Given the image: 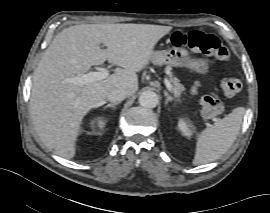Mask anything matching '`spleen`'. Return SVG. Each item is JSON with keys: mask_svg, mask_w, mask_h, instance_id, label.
Instances as JSON below:
<instances>
[{"mask_svg": "<svg viewBox=\"0 0 270 213\" xmlns=\"http://www.w3.org/2000/svg\"><path fill=\"white\" fill-rule=\"evenodd\" d=\"M244 114L243 107L235 108L226 117L199 133L193 164L210 163L225 154L237 138Z\"/></svg>", "mask_w": 270, "mask_h": 213, "instance_id": "spleen-1", "label": "spleen"}]
</instances>
